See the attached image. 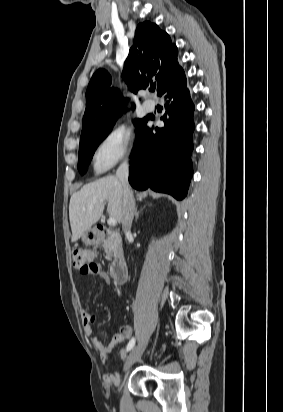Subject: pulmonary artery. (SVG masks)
Returning a JSON list of instances; mask_svg holds the SVG:
<instances>
[{
    "label": "pulmonary artery",
    "instance_id": "1",
    "mask_svg": "<svg viewBox=\"0 0 283 412\" xmlns=\"http://www.w3.org/2000/svg\"><path fill=\"white\" fill-rule=\"evenodd\" d=\"M143 108H144V110H145L146 112H151V111L154 110V105H153V104H150V103H145V104L143 105Z\"/></svg>",
    "mask_w": 283,
    "mask_h": 412
}]
</instances>
